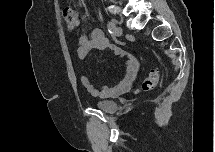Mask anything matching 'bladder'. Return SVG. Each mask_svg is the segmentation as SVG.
I'll list each match as a JSON object with an SVG mask.
<instances>
[{
	"instance_id": "obj_1",
	"label": "bladder",
	"mask_w": 215,
	"mask_h": 152,
	"mask_svg": "<svg viewBox=\"0 0 215 152\" xmlns=\"http://www.w3.org/2000/svg\"><path fill=\"white\" fill-rule=\"evenodd\" d=\"M96 108L107 114H114L118 109V104L113 101H97Z\"/></svg>"
}]
</instances>
